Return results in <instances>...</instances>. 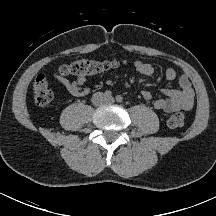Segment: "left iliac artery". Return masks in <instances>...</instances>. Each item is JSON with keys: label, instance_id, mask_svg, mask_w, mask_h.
<instances>
[{"label": "left iliac artery", "instance_id": "obj_1", "mask_svg": "<svg viewBox=\"0 0 216 216\" xmlns=\"http://www.w3.org/2000/svg\"><path fill=\"white\" fill-rule=\"evenodd\" d=\"M122 100H123V97L121 95L116 96V101L117 102H122Z\"/></svg>", "mask_w": 216, "mask_h": 216}]
</instances>
